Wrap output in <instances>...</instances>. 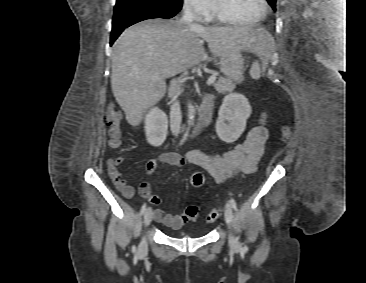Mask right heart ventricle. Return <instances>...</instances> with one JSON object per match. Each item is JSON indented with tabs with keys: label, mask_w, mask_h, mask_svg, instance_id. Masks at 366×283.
Returning <instances> with one entry per match:
<instances>
[{
	"label": "right heart ventricle",
	"mask_w": 366,
	"mask_h": 283,
	"mask_svg": "<svg viewBox=\"0 0 366 283\" xmlns=\"http://www.w3.org/2000/svg\"><path fill=\"white\" fill-rule=\"evenodd\" d=\"M208 19H211V20H217V21H220V22H223V20H221L220 18H218L216 16V14L214 13V11H210V13L208 14Z\"/></svg>",
	"instance_id": "right-heart-ventricle-1"
}]
</instances>
